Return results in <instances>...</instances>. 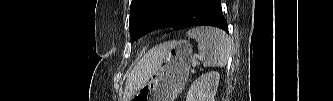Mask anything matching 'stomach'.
<instances>
[{
  "instance_id": "1",
  "label": "stomach",
  "mask_w": 333,
  "mask_h": 101,
  "mask_svg": "<svg viewBox=\"0 0 333 101\" xmlns=\"http://www.w3.org/2000/svg\"><path fill=\"white\" fill-rule=\"evenodd\" d=\"M164 44L166 49L157 71L130 101H174L182 92L190 71L192 46L186 40Z\"/></svg>"
}]
</instances>
